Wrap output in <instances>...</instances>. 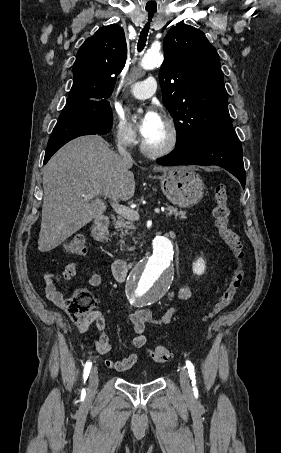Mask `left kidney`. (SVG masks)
Instances as JSON below:
<instances>
[{
  "mask_svg": "<svg viewBox=\"0 0 281 453\" xmlns=\"http://www.w3.org/2000/svg\"><path fill=\"white\" fill-rule=\"evenodd\" d=\"M206 263L203 261V259H197L196 263H193V273L195 275H203L206 267Z\"/></svg>",
  "mask_w": 281,
  "mask_h": 453,
  "instance_id": "obj_1",
  "label": "left kidney"
}]
</instances>
